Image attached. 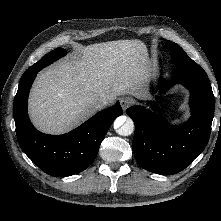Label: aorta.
I'll return each instance as SVG.
<instances>
[{
  "instance_id": "1",
  "label": "aorta",
  "mask_w": 221,
  "mask_h": 221,
  "mask_svg": "<svg viewBox=\"0 0 221 221\" xmlns=\"http://www.w3.org/2000/svg\"><path fill=\"white\" fill-rule=\"evenodd\" d=\"M114 129L121 136H129L134 132V122L129 117L120 116L114 122Z\"/></svg>"
}]
</instances>
